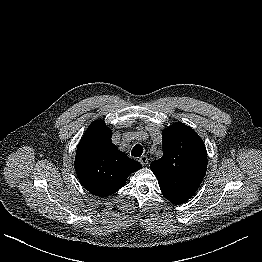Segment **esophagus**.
Here are the masks:
<instances>
[{"label": "esophagus", "instance_id": "1", "mask_svg": "<svg viewBox=\"0 0 262 262\" xmlns=\"http://www.w3.org/2000/svg\"><path fill=\"white\" fill-rule=\"evenodd\" d=\"M139 162H140L143 166L147 165V164H148V158H147V156L142 155V156L139 158Z\"/></svg>", "mask_w": 262, "mask_h": 262}]
</instances>
